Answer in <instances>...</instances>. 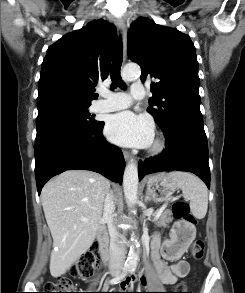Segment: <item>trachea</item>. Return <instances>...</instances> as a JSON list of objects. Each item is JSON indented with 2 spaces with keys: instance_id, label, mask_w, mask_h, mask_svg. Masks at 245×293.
<instances>
[{
  "instance_id": "obj_1",
  "label": "trachea",
  "mask_w": 245,
  "mask_h": 293,
  "mask_svg": "<svg viewBox=\"0 0 245 293\" xmlns=\"http://www.w3.org/2000/svg\"><path fill=\"white\" fill-rule=\"evenodd\" d=\"M122 61H123L122 44H121V40H119L116 54L113 59V63L111 66V71H110V76H111V80H112V85H111L112 89H114L116 87H120L122 89L126 88L125 83L123 82V80L121 79V76H120Z\"/></svg>"
}]
</instances>
